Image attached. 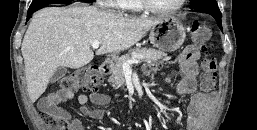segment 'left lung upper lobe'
I'll use <instances>...</instances> for the list:
<instances>
[{
  "label": "left lung upper lobe",
  "mask_w": 257,
  "mask_h": 130,
  "mask_svg": "<svg viewBox=\"0 0 257 130\" xmlns=\"http://www.w3.org/2000/svg\"><path fill=\"white\" fill-rule=\"evenodd\" d=\"M190 8L213 15H220L216 0H191Z\"/></svg>",
  "instance_id": "5c2ea615"
}]
</instances>
